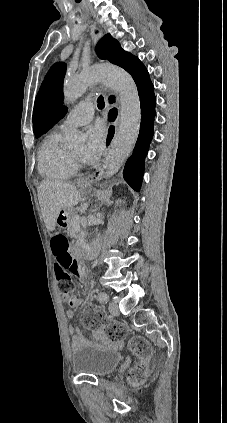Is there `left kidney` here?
Returning <instances> with one entry per match:
<instances>
[{"label":"left kidney","instance_id":"obj_1","mask_svg":"<svg viewBox=\"0 0 227 423\" xmlns=\"http://www.w3.org/2000/svg\"><path fill=\"white\" fill-rule=\"evenodd\" d=\"M122 200H117L116 204L118 206V204H121ZM123 204H125V202H123Z\"/></svg>","mask_w":227,"mask_h":423}]
</instances>
